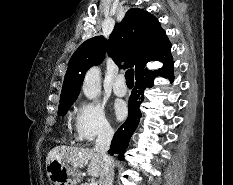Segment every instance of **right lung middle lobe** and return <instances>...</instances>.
Returning <instances> with one entry per match:
<instances>
[{"mask_svg":"<svg viewBox=\"0 0 233 185\" xmlns=\"http://www.w3.org/2000/svg\"><path fill=\"white\" fill-rule=\"evenodd\" d=\"M75 100L60 102L58 115L64 116Z\"/></svg>","mask_w":233,"mask_h":185,"instance_id":"1","label":"right lung middle lobe"}]
</instances>
